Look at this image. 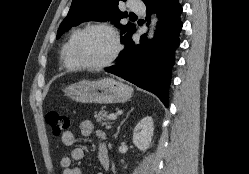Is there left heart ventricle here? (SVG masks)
Masks as SVG:
<instances>
[{
    "label": "left heart ventricle",
    "instance_id": "left-heart-ventricle-1",
    "mask_svg": "<svg viewBox=\"0 0 249 174\" xmlns=\"http://www.w3.org/2000/svg\"><path fill=\"white\" fill-rule=\"evenodd\" d=\"M114 49L111 35L104 30L90 31L81 41L79 56L89 64H98L109 58Z\"/></svg>",
    "mask_w": 249,
    "mask_h": 174
}]
</instances>
